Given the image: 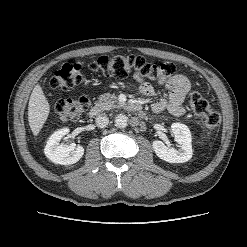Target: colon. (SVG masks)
<instances>
[{
  "label": "colon",
  "instance_id": "obj_1",
  "mask_svg": "<svg viewBox=\"0 0 247 247\" xmlns=\"http://www.w3.org/2000/svg\"><path fill=\"white\" fill-rule=\"evenodd\" d=\"M92 73L105 78L122 79L130 73H135L141 78L160 80L169 75L171 66L168 64H153L141 56H101L90 65ZM83 66L79 63L63 64L51 78V87L63 92L69 91L75 85L85 82ZM191 110L204 118L207 128L215 129L221 123V116L212 110L209 103L199 93H192L189 98ZM89 106L86 95L59 99L55 104L58 116L65 120L77 119Z\"/></svg>",
  "mask_w": 247,
  "mask_h": 247
}]
</instances>
